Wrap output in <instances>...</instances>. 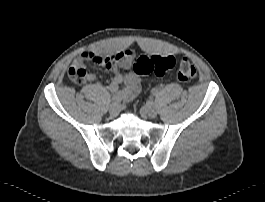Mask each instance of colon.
Masks as SVG:
<instances>
[{"label": "colon", "mask_w": 265, "mask_h": 202, "mask_svg": "<svg viewBox=\"0 0 265 202\" xmlns=\"http://www.w3.org/2000/svg\"><path fill=\"white\" fill-rule=\"evenodd\" d=\"M176 61L172 56L141 55L133 62V70L142 76L161 77L172 70ZM86 70L79 65H72L68 68V76L74 82H82L85 79ZM197 71L187 60L179 62L177 78L179 81L188 83L196 79Z\"/></svg>", "instance_id": "obj_1"}]
</instances>
